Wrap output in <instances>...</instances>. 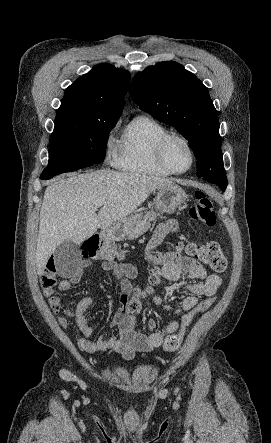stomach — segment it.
Returning <instances> with one entry per match:
<instances>
[{
	"instance_id": "stomach-1",
	"label": "stomach",
	"mask_w": 271,
	"mask_h": 443,
	"mask_svg": "<svg viewBox=\"0 0 271 443\" xmlns=\"http://www.w3.org/2000/svg\"><path fill=\"white\" fill-rule=\"evenodd\" d=\"M186 200V194L180 186H175V184H167V186H162L157 192V198H155V208L160 210V212H167V214H174L177 208L184 204ZM126 222H131L130 218H126ZM127 231L125 227V222L115 225L110 233V237L114 241H122L126 239Z\"/></svg>"
}]
</instances>
